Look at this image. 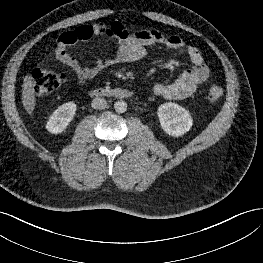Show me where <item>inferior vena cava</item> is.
Returning <instances> with one entry per match:
<instances>
[{
	"label": "inferior vena cava",
	"instance_id": "obj_1",
	"mask_svg": "<svg viewBox=\"0 0 263 263\" xmlns=\"http://www.w3.org/2000/svg\"><path fill=\"white\" fill-rule=\"evenodd\" d=\"M91 105L94 109L102 110L106 108L107 102L104 98L96 97L92 100Z\"/></svg>",
	"mask_w": 263,
	"mask_h": 263
}]
</instances>
